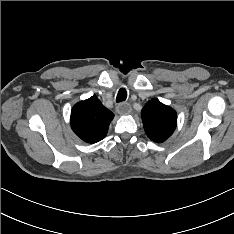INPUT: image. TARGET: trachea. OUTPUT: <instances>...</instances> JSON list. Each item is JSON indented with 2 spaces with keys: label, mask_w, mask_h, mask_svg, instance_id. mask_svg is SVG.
Masks as SVG:
<instances>
[{
  "label": "trachea",
  "mask_w": 234,
  "mask_h": 234,
  "mask_svg": "<svg viewBox=\"0 0 234 234\" xmlns=\"http://www.w3.org/2000/svg\"><path fill=\"white\" fill-rule=\"evenodd\" d=\"M127 98V91L125 88H121L119 91H118V94H117V97H116V102L119 103V102H123L125 101Z\"/></svg>",
  "instance_id": "3493384b"
}]
</instances>
